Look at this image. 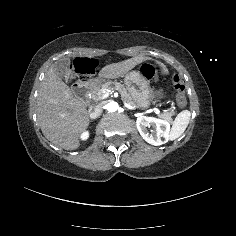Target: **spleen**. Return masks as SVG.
<instances>
[{
    "label": "spleen",
    "mask_w": 236,
    "mask_h": 236,
    "mask_svg": "<svg viewBox=\"0 0 236 236\" xmlns=\"http://www.w3.org/2000/svg\"><path fill=\"white\" fill-rule=\"evenodd\" d=\"M190 117L191 113L189 110H184L178 114L169 135L171 140L177 139L182 135L189 124Z\"/></svg>",
    "instance_id": "spleen-1"
}]
</instances>
